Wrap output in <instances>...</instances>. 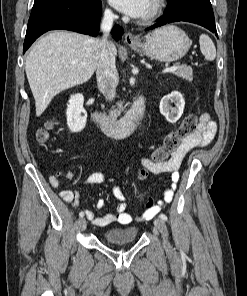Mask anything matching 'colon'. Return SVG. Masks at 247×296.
Returning a JSON list of instances; mask_svg holds the SVG:
<instances>
[{"instance_id":"1","label":"colon","mask_w":247,"mask_h":296,"mask_svg":"<svg viewBox=\"0 0 247 296\" xmlns=\"http://www.w3.org/2000/svg\"><path fill=\"white\" fill-rule=\"evenodd\" d=\"M51 124H49V127ZM198 128V117L195 113L187 115L180 126L170 132L152 153L151 161L153 163H164L181 146L183 140L196 133ZM37 138L40 142H46L49 139L47 130L39 131ZM147 175L146 169L139 171V178L143 179ZM179 179V178H178Z\"/></svg>"}]
</instances>
